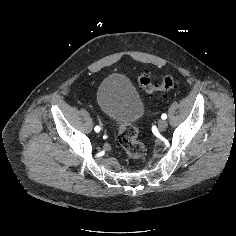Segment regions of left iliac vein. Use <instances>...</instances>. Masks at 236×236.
Wrapping results in <instances>:
<instances>
[{
  "mask_svg": "<svg viewBox=\"0 0 236 236\" xmlns=\"http://www.w3.org/2000/svg\"><path fill=\"white\" fill-rule=\"evenodd\" d=\"M167 126H168V122L164 119L158 122V128L160 131H164L167 128Z\"/></svg>",
  "mask_w": 236,
  "mask_h": 236,
  "instance_id": "1",
  "label": "left iliac vein"
}]
</instances>
